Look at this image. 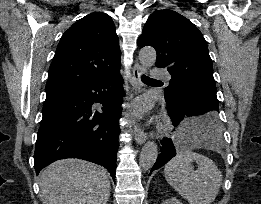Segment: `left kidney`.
<instances>
[{
  "instance_id": "left-kidney-1",
  "label": "left kidney",
  "mask_w": 261,
  "mask_h": 204,
  "mask_svg": "<svg viewBox=\"0 0 261 204\" xmlns=\"http://www.w3.org/2000/svg\"><path fill=\"white\" fill-rule=\"evenodd\" d=\"M162 204H182V202H180L178 199L171 197L169 199H166L165 201H163Z\"/></svg>"
}]
</instances>
